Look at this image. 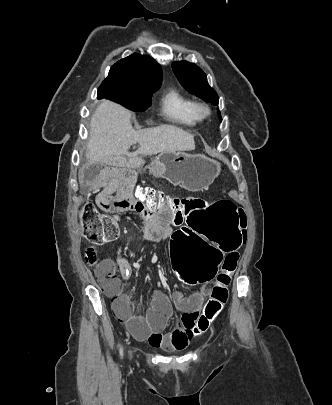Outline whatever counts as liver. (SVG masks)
<instances>
[{"label":"liver","mask_w":332,"mask_h":405,"mask_svg":"<svg viewBox=\"0 0 332 405\" xmlns=\"http://www.w3.org/2000/svg\"><path fill=\"white\" fill-rule=\"evenodd\" d=\"M130 119L131 112L114 102L103 100L98 105L90 121L86 153L89 164L102 162L117 165L122 157L132 160L139 155L195 149L194 136L181 128L161 125L135 131ZM137 142L139 149L130 153V146Z\"/></svg>","instance_id":"obj_1"}]
</instances>
